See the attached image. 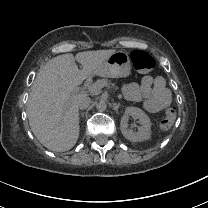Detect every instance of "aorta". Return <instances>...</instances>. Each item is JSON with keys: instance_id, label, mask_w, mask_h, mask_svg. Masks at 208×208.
<instances>
[{"instance_id": "obj_1", "label": "aorta", "mask_w": 208, "mask_h": 208, "mask_svg": "<svg viewBox=\"0 0 208 208\" xmlns=\"http://www.w3.org/2000/svg\"><path fill=\"white\" fill-rule=\"evenodd\" d=\"M97 109L100 111H104L106 109V105L102 102L97 104Z\"/></svg>"}]
</instances>
